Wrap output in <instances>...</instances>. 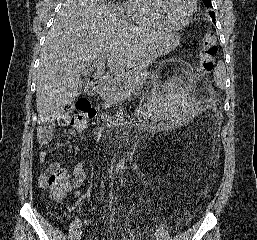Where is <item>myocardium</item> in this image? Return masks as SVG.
Instances as JSON below:
<instances>
[{"instance_id": "f54148a6", "label": "myocardium", "mask_w": 257, "mask_h": 240, "mask_svg": "<svg viewBox=\"0 0 257 240\" xmlns=\"http://www.w3.org/2000/svg\"><path fill=\"white\" fill-rule=\"evenodd\" d=\"M149 8L152 15L163 25L169 27H182L186 25L194 16L197 10V3L196 0H190V9L188 14L179 21H171L167 19L160 11L158 6V0H148Z\"/></svg>"}]
</instances>
